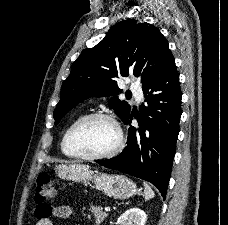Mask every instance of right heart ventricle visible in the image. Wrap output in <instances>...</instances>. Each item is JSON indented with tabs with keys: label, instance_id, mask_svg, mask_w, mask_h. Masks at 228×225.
Masks as SVG:
<instances>
[{
	"label": "right heart ventricle",
	"instance_id": "e07e8e85",
	"mask_svg": "<svg viewBox=\"0 0 228 225\" xmlns=\"http://www.w3.org/2000/svg\"><path fill=\"white\" fill-rule=\"evenodd\" d=\"M65 134V133H64ZM63 138H64V135L62 137V140H61V150L64 154H66L65 150H64V145H63ZM67 155V154H66Z\"/></svg>",
	"mask_w": 228,
	"mask_h": 225
}]
</instances>
